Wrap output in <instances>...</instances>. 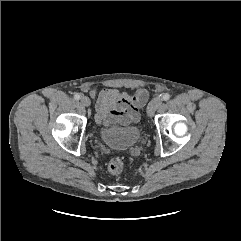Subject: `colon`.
<instances>
[{"label":"colon","instance_id":"5ec220e1","mask_svg":"<svg viewBox=\"0 0 241 241\" xmlns=\"http://www.w3.org/2000/svg\"><path fill=\"white\" fill-rule=\"evenodd\" d=\"M124 164L123 161L118 158L114 157L112 158L108 163V171L111 174H119L123 170Z\"/></svg>","mask_w":241,"mask_h":241}]
</instances>
